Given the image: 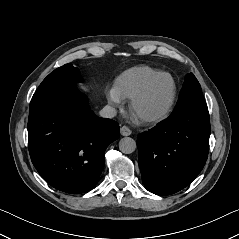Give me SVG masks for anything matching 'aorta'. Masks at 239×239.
Wrapping results in <instances>:
<instances>
[{"instance_id": "aorta-1", "label": "aorta", "mask_w": 239, "mask_h": 239, "mask_svg": "<svg viewBox=\"0 0 239 239\" xmlns=\"http://www.w3.org/2000/svg\"><path fill=\"white\" fill-rule=\"evenodd\" d=\"M136 149V142L130 137H124L119 141V150L124 154H131Z\"/></svg>"}]
</instances>
